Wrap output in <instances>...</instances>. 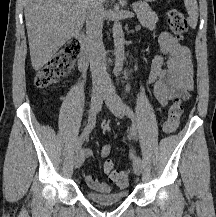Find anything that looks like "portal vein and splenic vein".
I'll return each instance as SVG.
<instances>
[{
  "label": "portal vein and splenic vein",
  "mask_w": 216,
  "mask_h": 217,
  "mask_svg": "<svg viewBox=\"0 0 216 217\" xmlns=\"http://www.w3.org/2000/svg\"><path fill=\"white\" fill-rule=\"evenodd\" d=\"M133 8H136V6H135V5H133Z\"/></svg>",
  "instance_id": "portal-vein-and-splenic-vein-1"
}]
</instances>
